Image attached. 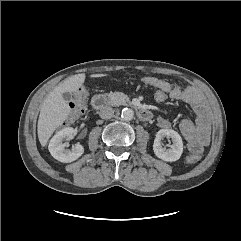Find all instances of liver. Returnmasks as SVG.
I'll list each match as a JSON object with an SVG mask.
<instances>
[{"mask_svg":"<svg viewBox=\"0 0 241 241\" xmlns=\"http://www.w3.org/2000/svg\"><path fill=\"white\" fill-rule=\"evenodd\" d=\"M106 74H92L91 77H103ZM85 74H76L62 81L49 93L44 100L37 125L39 142L45 146L53 132L63 124L70 114L67 101L63 98L64 92H76L85 81Z\"/></svg>","mask_w":241,"mask_h":241,"instance_id":"1","label":"liver"}]
</instances>
